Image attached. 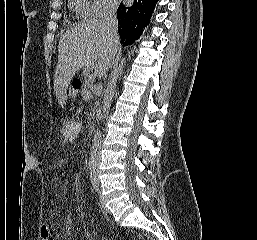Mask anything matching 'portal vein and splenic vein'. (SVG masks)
Masks as SVG:
<instances>
[{
	"mask_svg": "<svg viewBox=\"0 0 257 240\" xmlns=\"http://www.w3.org/2000/svg\"><path fill=\"white\" fill-rule=\"evenodd\" d=\"M87 96H88V98H91V97H92L91 92H88V93H87Z\"/></svg>",
	"mask_w": 257,
	"mask_h": 240,
	"instance_id": "1",
	"label": "portal vein and splenic vein"
}]
</instances>
